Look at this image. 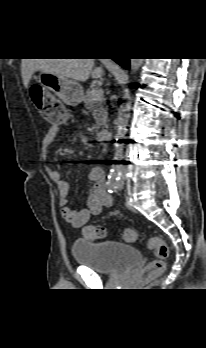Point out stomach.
Returning a JSON list of instances; mask_svg holds the SVG:
<instances>
[{"label":"stomach","mask_w":206,"mask_h":348,"mask_svg":"<svg viewBox=\"0 0 206 348\" xmlns=\"http://www.w3.org/2000/svg\"><path fill=\"white\" fill-rule=\"evenodd\" d=\"M38 85L43 91H51L64 103L76 106L84 97L83 88L77 82L70 81L53 73L40 71L36 77Z\"/></svg>","instance_id":"0dacf381"}]
</instances>
